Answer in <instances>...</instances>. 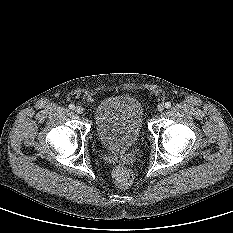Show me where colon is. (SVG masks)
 <instances>
[{
	"label": "colon",
	"mask_w": 233,
	"mask_h": 233,
	"mask_svg": "<svg viewBox=\"0 0 233 233\" xmlns=\"http://www.w3.org/2000/svg\"><path fill=\"white\" fill-rule=\"evenodd\" d=\"M113 178L117 185L126 187L132 181V173L125 165H118L114 169Z\"/></svg>",
	"instance_id": "obj_1"
}]
</instances>
